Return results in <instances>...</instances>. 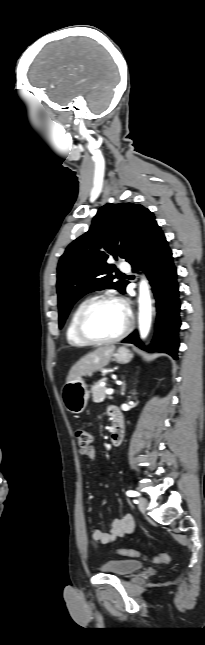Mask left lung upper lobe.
I'll use <instances>...</instances> for the list:
<instances>
[{
  "label": "left lung upper lobe",
  "instance_id": "1",
  "mask_svg": "<svg viewBox=\"0 0 205 645\" xmlns=\"http://www.w3.org/2000/svg\"><path fill=\"white\" fill-rule=\"evenodd\" d=\"M155 216L134 203L106 204L93 218L90 229L74 240L58 264L57 293L59 328H62L74 303L97 289L125 292L126 280L113 282L117 269L110 257L131 262Z\"/></svg>",
  "mask_w": 205,
  "mask_h": 645
}]
</instances>
